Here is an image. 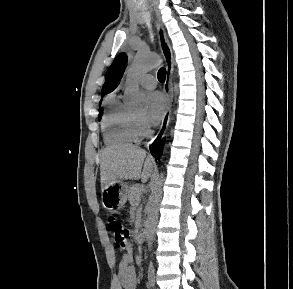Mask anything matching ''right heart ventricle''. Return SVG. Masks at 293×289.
Returning <instances> with one entry per match:
<instances>
[{"label":"right heart ventricle","instance_id":"right-heart-ventricle-1","mask_svg":"<svg viewBox=\"0 0 293 289\" xmlns=\"http://www.w3.org/2000/svg\"><path fill=\"white\" fill-rule=\"evenodd\" d=\"M102 127L108 145L128 144L138 137L134 113L115 93L106 98Z\"/></svg>","mask_w":293,"mask_h":289}]
</instances>
